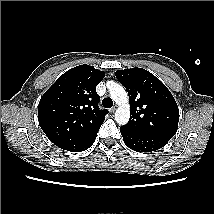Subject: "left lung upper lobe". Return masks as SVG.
<instances>
[{"instance_id": "obj_1", "label": "left lung upper lobe", "mask_w": 214, "mask_h": 214, "mask_svg": "<svg viewBox=\"0 0 214 214\" xmlns=\"http://www.w3.org/2000/svg\"><path fill=\"white\" fill-rule=\"evenodd\" d=\"M115 75L129 95L130 119L124 127L170 140L178 128L179 109L167 87L143 68L118 70Z\"/></svg>"}]
</instances>
